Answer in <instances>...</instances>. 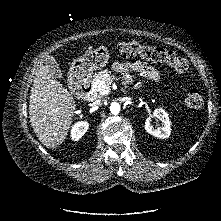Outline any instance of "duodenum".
Segmentation results:
<instances>
[{"instance_id":"1","label":"duodenum","mask_w":221,"mask_h":221,"mask_svg":"<svg viewBox=\"0 0 221 221\" xmlns=\"http://www.w3.org/2000/svg\"><path fill=\"white\" fill-rule=\"evenodd\" d=\"M79 95L86 101H93L95 98L94 90L88 81H84L78 90Z\"/></svg>"}]
</instances>
